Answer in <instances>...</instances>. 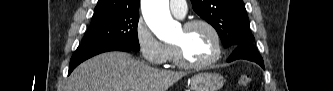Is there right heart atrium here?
I'll use <instances>...</instances> for the list:
<instances>
[{
  "label": "right heart atrium",
  "mask_w": 333,
  "mask_h": 91,
  "mask_svg": "<svg viewBox=\"0 0 333 91\" xmlns=\"http://www.w3.org/2000/svg\"><path fill=\"white\" fill-rule=\"evenodd\" d=\"M134 37L146 62L152 65H163L168 60V47L155 37L143 18H139L135 25Z\"/></svg>",
  "instance_id": "1"
}]
</instances>
